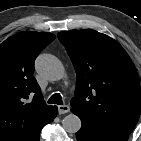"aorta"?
<instances>
[{
	"mask_svg": "<svg viewBox=\"0 0 141 141\" xmlns=\"http://www.w3.org/2000/svg\"><path fill=\"white\" fill-rule=\"evenodd\" d=\"M35 68L39 74L50 81H58L64 78L65 69L62 62L51 54H40L35 62ZM62 126L68 133H76L82 123L75 114H68L62 120Z\"/></svg>",
	"mask_w": 141,
	"mask_h": 141,
	"instance_id": "1",
	"label": "aorta"
}]
</instances>
